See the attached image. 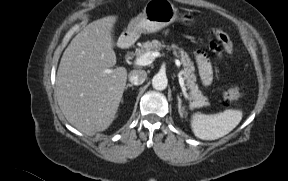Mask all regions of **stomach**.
I'll use <instances>...</instances> for the list:
<instances>
[{"label":"stomach","mask_w":288,"mask_h":181,"mask_svg":"<svg viewBox=\"0 0 288 181\" xmlns=\"http://www.w3.org/2000/svg\"><path fill=\"white\" fill-rule=\"evenodd\" d=\"M178 19L177 10L169 0H149L143 12L130 21L121 38L125 44L132 42L141 34L158 32ZM180 20L187 25L194 21L190 14L182 15Z\"/></svg>","instance_id":"obj_1"}]
</instances>
